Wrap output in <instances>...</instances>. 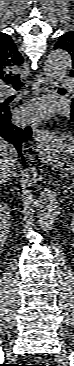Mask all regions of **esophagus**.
<instances>
[{"mask_svg":"<svg viewBox=\"0 0 74 366\" xmlns=\"http://www.w3.org/2000/svg\"><path fill=\"white\" fill-rule=\"evenodd\" d=\"M48 79L44 74L36 75L33 83V90L35 95H39L44 92L47 88ZM33 134L37 141V146L40 150H46L48 148L49 140L48 137L50 135L48 130L39 129L36 123L32 124Z\"/></svg>","mask_w":74,"mask_h":366,"instance_id":"34e87169","label":"esophagus"}]
</instances>
